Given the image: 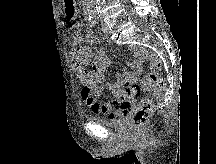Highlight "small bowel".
I'll list each match as a JSON object with an SVG mask.
<instances>
[{
    "instance_id": "1",
    "label": "small bowel",
    "mask_w": 216,
    "mask_h": 164,
    "mask_svg": "<svg viewBox=\"0 0 216 164\" xmlns=\"http://www.w3.org/2000/svg\"><path fill=\"white\" fill-rule=\"evenodd\" d=\"M86 39L90 43L95 42V36L88 32ZM84 37L81 32L76 31L72 34L70 47L73 59V67L77 71L78 78L82 84L81 96L85 103L94 113H101L109 118L115 119L129 112L131 103L121 97V88L139 78L142 67L141 60L144 51L139 48L134 49V59L131 63V69L126 70L122 74L116 75V83L107 86L112 93L114 99L112 102L100 103L97 97L102 94L106 88L103 85L104 71L110 65L105 52L102 49L96 50L94 53L91 48L85 44ZM91 65V68L88 66Z\"/></svg>"
}]
</instances>
